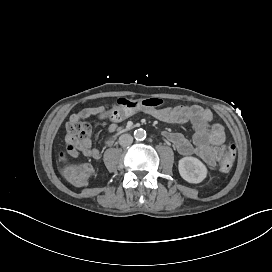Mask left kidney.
Here are the masks:
<instances>
[{
	"label": "left kidney",
	"mask_w": 272,
	"mask_h": 272,
	"mask_svg": "<svg viewBox=\"0 0 272 272\" xmlns=\"http://www.w3.org/2000/svg\"><path fill=\"white\" fill-rule=\"evenodd\" d=\"M178 169L181 177L189 183H200L207 175L206 166L195 157L180 159Z\"/></svg>",
	"instance_id": "1"
}]
</instances>
